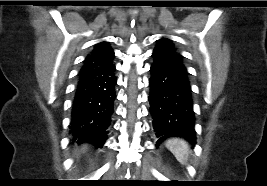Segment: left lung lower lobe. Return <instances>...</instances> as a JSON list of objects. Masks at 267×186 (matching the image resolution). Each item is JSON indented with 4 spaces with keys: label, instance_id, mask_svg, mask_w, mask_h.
Segmentation results:
<instances>
[{
    "label": "left lung lower lobe",
    "instance_id": "obj_1",
    "mask_svg": "<svg viewBox=\"0 0 267 186\" xmlns=\"http://www.w3.org/2000/svg\"><path fill=\"white\" fill-rule=\"evenodd\" d=\"M152 56L148 100L157 145L169 137H182L194 144L195 116L188 72L157 54Z\"/></svg>",
    "mask_w": 267,
    "mask_h": 186
}]
</instances>
